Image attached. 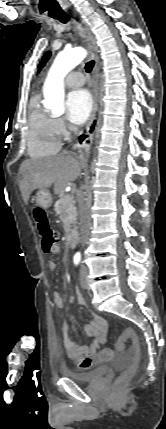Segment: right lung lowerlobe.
<instances>
[{
  "label": "right lung lower lobe",
  "mask_w": 166,
  "mask_h": 429,
  "mask_svg": "<svg viewBox=\"0 0 166 429\" xmlns=\"http://www.w3.org/2000/svg\"><path fill=\"white\" fill-rule=\"evenodd\" d=\"M93 129H94V124H93V125L91 126V128H90V132H92V131H93ZM86 137H87L86 135H81L80 140L82 141V140H84Z\"/></svg>",
  "instance_id": "98d812e1"
}]
</instances>
